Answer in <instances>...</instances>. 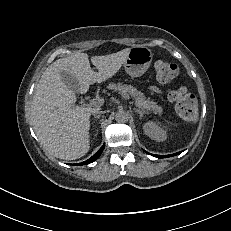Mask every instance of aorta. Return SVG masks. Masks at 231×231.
<instances>
[{
  "mask_svg": "<svg viewBox=\"0 0 231 231\" xmlns=\"http://www.w3.org/2000/svg\"><path fill=\"white\" fill-rule=\"evenodd\" d=\"M115 120L118 123H126L129 120V114L126 111L120 110L115 114Z\"/></svg>",
  "mask_w": 231,
  "mask_h": 231,
  "instance_id": "obj_1",
  "label": "aorta"
}]
</instances>
